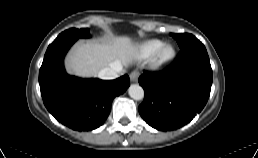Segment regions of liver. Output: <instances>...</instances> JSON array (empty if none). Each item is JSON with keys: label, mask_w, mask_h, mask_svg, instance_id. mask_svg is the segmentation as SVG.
Here are the masks:
<instances>
[{"label": "liver", "mask_w": 258, "mask_h": 158, "mask_svg": "<svg viewBox=\"0 0 258 158\" xmlns=\"http://www.w3.org/2000/svg\"><path fill=\"white\" fill-rule=\"evenodd\" d=\"M136 51V43L128 36L111 37L101 42H79L69 52L66 65L68 71L76 76L93 77L115 63L127 66Z\"/></svg>", "instance_id": "1"}]
</instances>
